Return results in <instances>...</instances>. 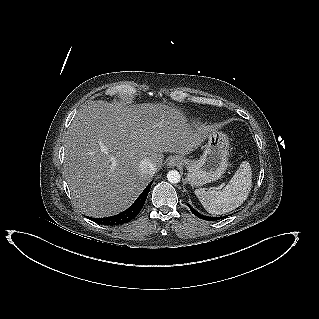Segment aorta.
<instances>
[{"instance_id":"1","label":"aorta","mask_w":319,"mask_h":319,"mask_svg":"<svg viewBox=\"0 0 319 319\" xmlns=\"http://www.w3.org/2000/svg\"><path fill=\"white\" fill-rule=\"evenodd\" d=\"M167 180L172 183V184H176L178 182H180V174L178 171L176 170H170L167 173Z\"/></svg>"}]
</instances>
